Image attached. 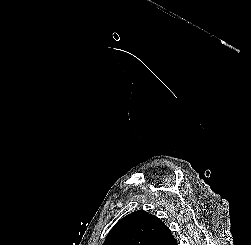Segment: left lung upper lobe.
Instances as JSON below:
<instances>
[{
  "mask_svg": "<svg viewBox=\"0 0 251 245\" xmlns=\"http://www.w3.org/2000/svg\"><path fill=\"white\" fill-rule=\"evenodd\" d=\"M103 245H178L169 228L155 215L135 211L119 220Z\"/></svg>",
  "mask_w": 251,
  "mask_h": 245,
  "instance_id": "1",
  "label": "left lung upper lobe"
}]
</instances>
